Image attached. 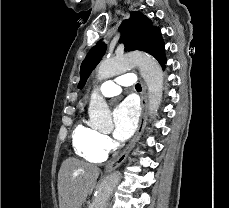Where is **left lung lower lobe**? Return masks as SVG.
Wrapping results in <instances>:
<instances>
[{
  "instance_id": "1",
  "label": "left lung lower lobe",
  "mask_w": 229,
  "mask_h": 208,
  "mask_svg": "<svg viewBox=\"0 0 229 208\" xmlns=\"http://www.w3.org/2000/svg\"><path fill=\"white\" fill-rule=\"evenodd\" d=\"M165 63H166V60L160 62V65H162L163 70L165 69V66H164Z\"/></svg>"
}]
</instances>
